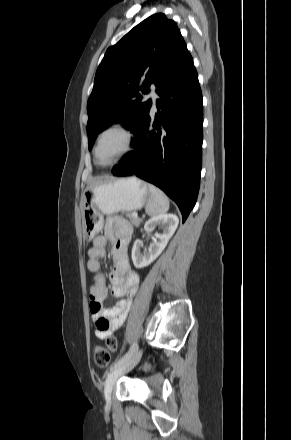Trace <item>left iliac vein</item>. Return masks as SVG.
<instances>
[{
  "label": "left iliac vein",
  "instance_id": "left-iliac-vein-1",
  "mask_svg": "<svg viewBox=\"0 0 291 440\" xmlns=\"http://www.w3.org/2000/svg\"><path fill=\"white\" fill-rule=\"evenodd\" d=\"M141 355V350H137L127 362L113 369L112 372L108 375L104 387V395L107 401H110L111 399L112 390L117 379L124 375L126 372L132 370L139 363Z\"/></svg>",
  "mask_w": 291,
  "mask_h": 440
}]
</instances>
